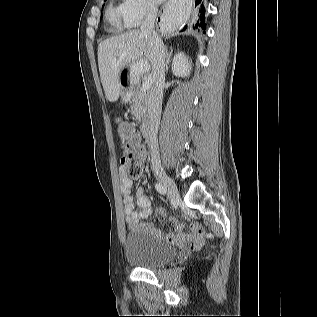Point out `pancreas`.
<instances>
[{
    "label": "pancreas",
    "instance_id": "1",
    "mask_svg": "<svg viewBox=\"0 0 317 317\" xmlns=\"http://www.w3.org/2000/svg\"><path fill=\"white\" fill-rule=\"evenodd\" d=\"M129 94L132 96L131 113L136 117V119L141 121L144 119L147 109L146 93L142 90L141 87L132 86L130 88Z\"/></svg>",
    "mask_w": 317,
    "mask_h": 317
}]
</instances>
